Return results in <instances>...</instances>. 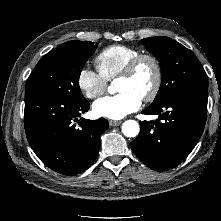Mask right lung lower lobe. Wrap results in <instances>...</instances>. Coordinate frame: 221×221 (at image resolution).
Returning <instances> with one entry per match:
<instances>
[{
	"label": "right lung lower lobe",
	"instance_id": "1",
	"mask_svg": "<svg viewBox=\"0 0 221 221\" xmlns=\"http://www.w3.org/2000/svg\"><path fill=\"white\" fill-rule=\"evenodd\" d=\"M90 108L87 100L73 103L60 97L25 92V131L38 158L50 169L63 175H76L96 159L100 135L108 129L104 118H81Z\"/></svg>",
	"mask_w": 221,
	"mask_h": 221
}]
</instances>
